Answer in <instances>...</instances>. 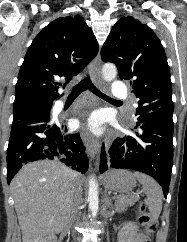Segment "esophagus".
Instances as JSON below:
<instances>
[{"instance_id":"34e87169","label":"esophagus","mask_w":187,"mask_h":242,"mask_svg":"<svg viewBox=\"0 0 187 242\" xmlns=\"http://www.w3.org/2000/svg\"><path fill=\"white\" fill-rule=\"evenodd\" d=\"M100 71L101 57L100 54H98L91 63L90 72L92 77L95 79L100 75ZM82 137L86 147L87 154L90 156L91 159H95L100 147L99 141L92 137L87 131H83Z\"/></svg>"}]
</instances>
